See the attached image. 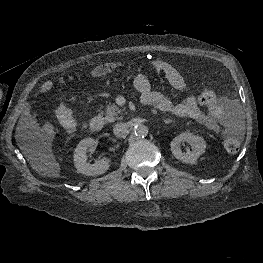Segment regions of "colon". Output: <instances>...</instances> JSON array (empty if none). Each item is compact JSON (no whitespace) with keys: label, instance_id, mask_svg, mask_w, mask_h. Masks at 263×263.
I'll return each instance as SVG.
<instances>
[{"label":"colon","instance_id":"obj_1","mask_svg":"<svg viewBox=\"0 0 263 263\" xmlns=\"http://www.w3.org/2000/svg\"><path fill=\"white\" fill-rule=\"evenodd\" d=\"M117 67L119 63H115ZM129 68L137 69L142 71V68L135 64H128ZM201 102L206 105L209 111L214 116H220L223 113V105L217 100L216 95L212 91H204L201 95ZM57 119L62 128L73 133L77 129V121L74 118L72 112L64 105L58 106L55 110ZM240 132L237 129L229 128L223 133V145L228 152L234 153L238 151L240 146Z\"/></svg>","mask_w":263,"mask_h":263}]
</instances>
